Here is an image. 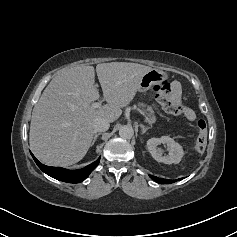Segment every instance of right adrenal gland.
I'll return each instance as SVG.
<instances>
[{
    "label": "right adrenal gland",
    "mask_w": 237,
    "mask_h": 237,
    "mask_svg": "<svg viewBox=\"0 0 237 237\" xmlns=\"http://www.w3.org/2000/svg\"><path fill=\"white\" fill-rule=\"evenodd\" d=\"M99 135H101V133H95V135H94V137H93V141H92V144H91V146H93V145H94V143L96 142V140H97V137H98Z\"/></svg>",
    "instance_id": "right-adrenal-gland-1"
}]
</instances>
